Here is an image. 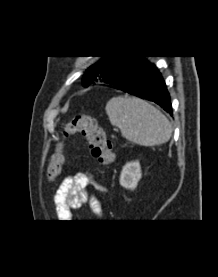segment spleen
<instances>
[{"label": "spleen", "mask_w": 218, "mask_h": 277, "mask_svg": "<svg viewBox=\"0 0 218 277\" xmlns=\"http://www.w3.org/2000/svg\"><path fill=\"white\" fill-rule=\"evenodd\" d=\"M110 123L127 140L142 146L167 142L172 134L169 120L148 102L136 97H113L106 104Z\"/></svg>", "instance_id": "1"}]
</instances>
